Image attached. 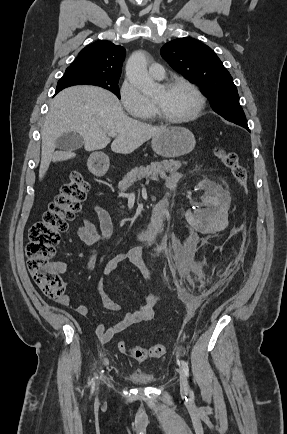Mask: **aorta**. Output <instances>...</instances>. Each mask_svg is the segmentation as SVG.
I'll return each mask as SVG.
<instances>
[{
    "label": "aorta",
    "mask_w": 287,
    "mask_h": 434,
    "mask_svg": "<svg viewBox=\"0 0 287 434\" xmlns=\"http://www.w3.org/2000/svg\"><path fill=\"white\" fill-rule=\"evenodd\" d=\"M126 76L143 93H151L156 88V84L148 75L147 60L142 51H136L129 57Z\"/></svg>",
    "instance_id": "1"
}]
</instances>
